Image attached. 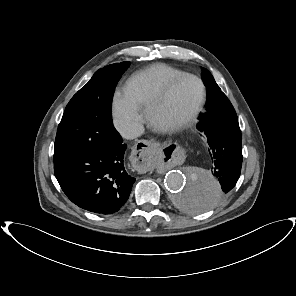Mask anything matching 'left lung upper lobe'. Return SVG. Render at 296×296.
I'll return each mask as SVG.
<instances>
[{
  "label": "left lung upper lobe",
  "mask_w": 296,
  "mask_h": 296,
  "mask_svg": "<svg viewBox=\"0 0 296 296\" xmlns=\"http://www.w3.org/2000/svg\"><path fill=\"white\" fill-rule=\"evenodd\" d=\"M202 79L205 86L207 87L208 98L205 108L208 109L217 99L221 98L225 94L221 92V89L219 88L213 76L208 70L203 69Z\"/></svg>",
  "instance_id": "left-lung-upper-lobe-1"
}]
</instances>
